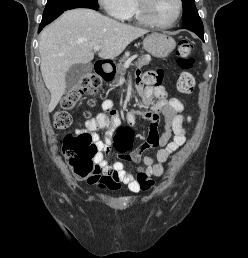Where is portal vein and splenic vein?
<instances>
[{
  "label": "portal vein and splenic vein",
  "instance_id": "1",
  "mask_svg": "<svg viewBox=\"0 0 248 258\" xmlns=\"http://www.w3.org/2000/svg\"><path fill=\"white\" fill-rule=\"evenodd\" d=\"M100 48H101L100 45H96V46H94V51H99ZM136 58H137L136 55H133L132 57H130V58L125 62L124 67H125V68H128V67L131 65L132 61H133L134 59H136Z\"/></svg>",
  "mask_w": 248,
  "mask_h": 258
}]
</instances>
